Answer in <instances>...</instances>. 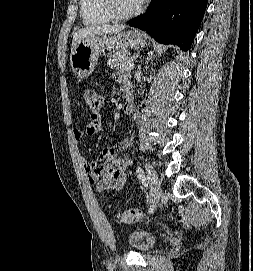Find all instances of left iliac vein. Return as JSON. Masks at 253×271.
<instances>
[{
	"instance_id": "obj_1",
	"label": "left iliac vein",
	"mask_w": 253,
	"mask_h": 271,
	"mask_svg": "<svg viewBox=\"0 0 253 271\" xmlns=\"http://www.w3.org/2000/svg\"><path fill=\"white\" fill-rule=\"evenodd\" d=\"M147 179L150 186V198L152 210L157 206L162 196L161 183L157 176V173L149 168L147 173Z\"/></svg>"
}]
</instances>
